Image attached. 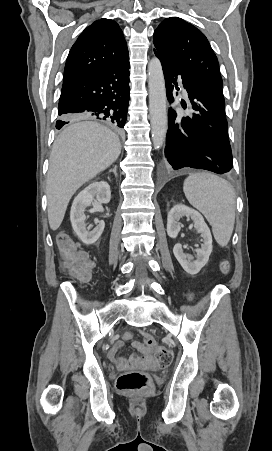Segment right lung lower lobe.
<instances>
[{"label":"right lung lower lobe","mask_w":272,"mask_h":451,"mask_svg":"<svg viewBox=\"0 0 272 451\" xmlns=\"http://www.w3.org/2000/svg\"><path fill=\"white\" fill-rule=\"evenodd\" d=\"M129 58L104 70L63 82L56 128L72 120H105L124 128L129 102ZM67 120V121H66Z\"/></svg>","instance_id":"right-lung-lower-lobe-1"}]
</instances>
